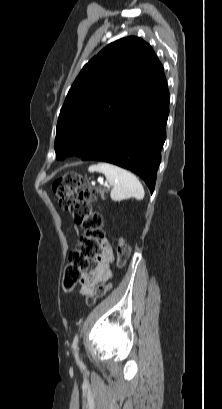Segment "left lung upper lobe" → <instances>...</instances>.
<instances>
[{"label": "left lung upper lobe", "instance_id": "left-lung-upper-lobe-1", "mask_svg": "<svg viewBox=\"0 0 222 409\" xmlns=\"http://www.w3.org/2000/svg\"><path fill=\"white\" fill-rule=\"evenodd\" d=\"M165 81L162 64L141 38L106 46L83 67L67 94L56 129L57 159L82 156L127 102L150 95Z\"/></svg>", "mask_w": 222, "mask_h": 409}]
</instances>
